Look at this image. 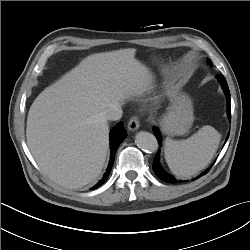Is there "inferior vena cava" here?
<instances>
[{
    "instance_id": "1",
    "label": "inferior vena cava",
    "mask_w": 250,
    "mask_h": 250,
    "mask_svg": "<svg viewBox=\"0 0 250 250\" xmlns=\"http://www.w3.org/2000/svg\"><path fill=\"white\" fill-rule=\"evenodd\" d=\"M122 113L123 111L121 109V106L119 104H114L109 109L104 111V117L106 118V120L116 121L121 119Z\"/></svg>"
}]
</instances>
